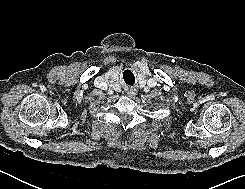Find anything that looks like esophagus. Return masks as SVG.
<instances>
[{
  "mask_svg": "<svg viewBox=\"0 0 245 189\" xmlns=\"http://www.w3.org/2000/svg\"><path fill=\"white\" fill-rule=\"evenodd\" d=\"M132 94H133V95H135V94H136V92H132Z\"/></svg>",
  "mask_w": 245,
  "mask_h": 189,
  "instance_id": "obj_1",
  "label": "esophagus"
}]
</instances>
